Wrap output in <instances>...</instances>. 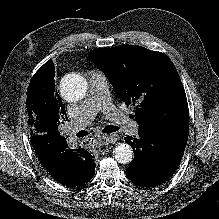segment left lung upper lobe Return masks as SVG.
<instances>
[{
	"mask_svg": "<svg viewBox=\"0 0 219 219\" xmlns=\"http://www.w3.org/2000/svg\"><path fill=\"white\" fill-rule=\"evenodd\" d=\"M89 57L107 75L120 100L136 106L133 117L139 124L138 133L187 142V98L178 72L165 54L120 45L92 50Z\"/></svg>",
	"mask_w": 219,
	"mask_h": 219,
	"instance_id": "5c2ea615",
	"label": "left lung upper lobe"
}]
</instances>
